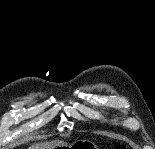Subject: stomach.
Wrapping results in <instances>:
<instances>
[{"label":"stomach","mask_w":155,"mask_h":149,"mask_svg":"<svg viewBox=\"0 0 155 149\" xmlns=\"http://www.w3.org/2000/svg\"><path fill=\"white\" fill-rule=\"evenodd\" d=\"M64 147H66L67 149H92V148H96V146L92 142L86 141V140L77 141L71 145H66Z\"/></svg>","instance_id":"1"}]
</instances>
